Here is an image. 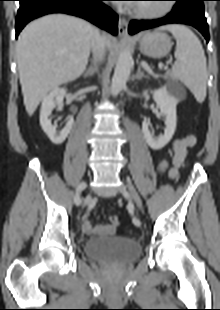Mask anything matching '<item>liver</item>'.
Returning a JSON list of instances; mask_svg holds the SVG:
<instances>
[{"label": "liver", "instance_id": "1", "mask_svg": "<svg viewBox=\"0 0 220 310\" xmlns=\"http://www.w3.org/2000/svg\"><path fill=\"white\" fill-rule=\"evenodd\" d=\"M94 27L85 20L53 14L28 24L16 43L24 105L31 116L48 92L80 77L90 54ZM106 45L111 40L105 38Z\"/></svg>", "mask_w": 220, "mask_h": 310}]
</instances>
